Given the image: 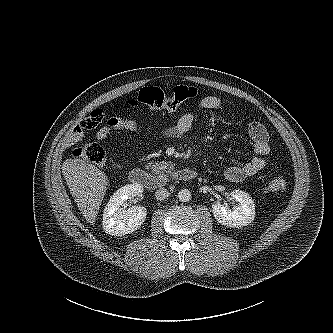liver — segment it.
<instances>
[{
  "label": "liver",
  "instance_id": "liver-1",
  "mask_svg": "<svg viewBox=\"0 0 333 333\" xmlns=\"http://www.w3.org/2000/svg\"><path fill=\"white\" fill-rule=\"evenodd\" d=\"M62 173L70 193L86 221L94 224L109 180L105 173L83 159H66Z\"/></svg>",
  "mask_w": 333,
  "mask_h": 333
}]
</instances>
